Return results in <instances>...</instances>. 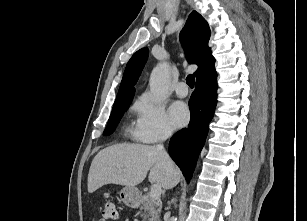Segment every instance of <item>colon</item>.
<instances>
[{"instance_id":"5ec220e1","label":"colon","mask_w":307,"mask_h":221,"mask_svg":"<svg viewBox=\"0 0 307 221\" xmlns=\"http://www.w3.org/2000/svg\"><path fill=\"white\" fill-rule=\"evenodd\" d=\"M116 217L115 204L112 201H105L101 209L100 221H108Z\"/></svg>"}]
</instances>
